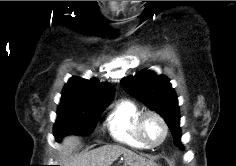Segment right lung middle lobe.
Instances as JSON below:
<instances>
[{
	"instance_id": "dd1d6c3e",
	"label": "right lung middle lobe",
	"mask_w": 236,
	"mask_h": 166,
	"mask_svg": "<svg viewBox=\"0 0 236 166\" xmlns=\"http://www.w3.org/2000/svg\"><path fill=\"white\" fill-rule=\"evenodd\" d=\"M106 107L60 103L57 111V120L54 125L56 140H60L67 134L85 136L91 134L100 114Z\"/></svg>"
}]
</instances>
